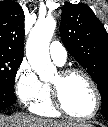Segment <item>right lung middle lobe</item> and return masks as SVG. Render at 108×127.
Wrapping results in <instances>:
<instances>
[{
  "mask_svg": "<svg viewBox=\"0 0 108 127\" xmlns=\"http://www.w3.org/2000/svg\"><path fill=\"white\" fill-rule=\"evenodd\" d=\"M23 57L0 52V88L14 92L17 70Z\"/></svg>",
  "mask_w": 108,
  "mask_h": 127,
  "instance_id": "dd1d6c3e",
  "label": "right lung middle lobe"
}]
</instances>
